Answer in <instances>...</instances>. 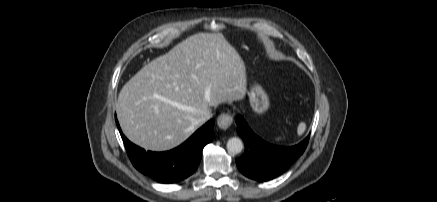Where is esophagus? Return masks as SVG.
<instances>
[{
  "label": "esophagus",
  "instance_id": "obj_1",
  "mask_svg": "<svg viewBox=\"0 0 437 202\" xmlns=\"http://www.w3.org/2000/svg\"><path fill=\"white\" fill-rule=\"evenodd\" d=\"M232 122L233 118L228 113H222L217 118V125L223 130L228 129L231 126Z\"/></svg>",
  "mask_w": 437,
  "mask_h": 202
}]
</instances>
